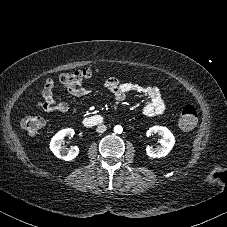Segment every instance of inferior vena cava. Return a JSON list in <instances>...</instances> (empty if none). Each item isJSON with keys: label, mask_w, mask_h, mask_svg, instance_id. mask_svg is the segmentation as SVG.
I'll use <instances>...</instances> for the list:
<instances>
[{"label": "inferior vena cava", "mask_w": 227, "mask_h": 227, "mask_svg": "<svg viewBox=\"0 0 227 227\" xmlns=\"http://www.w3.org/2000/svg\"><path fill=\"white\" fill-rule=\"evenodd\" d=\"M106 130H107V127L105 125H103V124L98 125L97 128H96V131L98 133H104Z\"/></svg>", "instance_id": "obj_1"}]
</instances>
